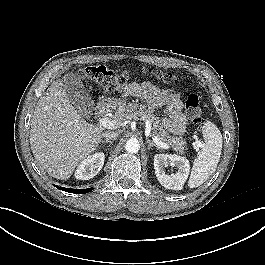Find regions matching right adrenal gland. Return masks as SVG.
I'll return each mask as SVG.
<instances>
[{"label": "right adrenal gland", "instance_id": "1", "mask_svg": "<svg viewBox=\"0 0 265 265\" xmlns=\"http://www.w3.org/2000/svg\"><path fill=\"white\" fill-rule=\"evenodd\" d=\"M113 142V140H105V141H102V144H106V143H112Z\"/></svg>", "mask_w": 265, "mask_h": 265}]
</instances>
